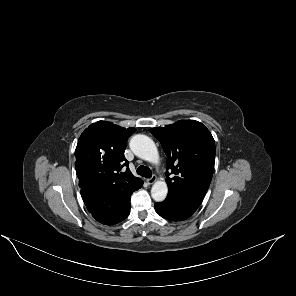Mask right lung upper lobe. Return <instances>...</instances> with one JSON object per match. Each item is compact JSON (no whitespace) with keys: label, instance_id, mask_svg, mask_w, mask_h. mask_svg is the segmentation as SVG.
Instances as JSON below:
<instances>
[{"label":"right lung upper lobe","instance_id":"right-lung-upper-lobe-1","mask_svg":"<svg viewBox=\"0 0 296 296\" xmlns=\"http://www.w3.org/2000/svg\"><path fill=\"white\" fill-rule=\"evenodd\" d=\"M135 128H123L106 121L91 124L81 134L75 150L79 186L88 189L120 191L142 182L129 170L124 157L127 139ZM126 166L125 172H120Z\"/></svg>","mask_w":296,"mask_h":296}]
</instances>
